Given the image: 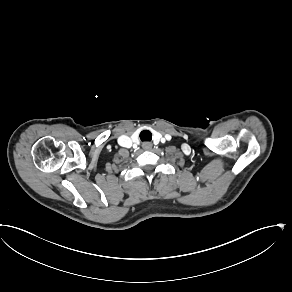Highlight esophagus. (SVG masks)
Returning <instances> with one entry per match:
<instances>
[{"label":"esophagus","instance_id":"1","mask_svg":"<svg viewBox=\"0 0 292 292\" xmlns=\"http://www.w3.org/2000/svg\"><path fill=\"white\" fill-rule=\"evenodd\" d=\"M152 147H153V144H152L151 142H143V143H142V148H143L144 150L149 151V150L152 149Z\"/></svg>","mask_w":292,"mask_h":292}]
</instances>
